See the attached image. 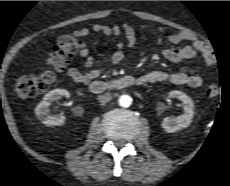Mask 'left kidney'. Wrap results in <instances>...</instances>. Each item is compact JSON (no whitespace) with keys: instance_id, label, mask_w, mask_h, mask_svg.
Returning a JSON list of instances; mask_svg holds the SVG:
<instances>
[{"instance_id":"5707ae66","label":"left kidney","mask_w":230,"mask_h":186,"mask_svg":"<svg viewBox=\"0 0 230 186\" xmlns=\"http://www.w3.org/2000/svg\"><path fill=\"white\" fill-rule=\"evenodd\" d=\"M170 98H177L182 101L184 105V113L176 118H164L162 121V128L169 133L176 132L181 128L188 127L194 116V103L192 99L181 91H171L169 92Z\"/></svg>"}]
</instances>
